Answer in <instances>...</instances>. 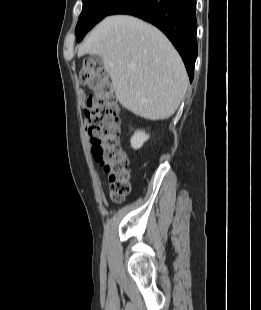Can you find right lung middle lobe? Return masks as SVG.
I'll use <instances>...</instances> for the list:
<instances>
[{"instance_id":"1","label":"right lung middle lobe","mask_w":261,"mask_h":310,"mask_svg":"<svg viewBox=\"0 0 261 310\" xmlns=\"http://www.w3.org/2000/svg\"><path fill=\"white\" fill-rule=\"evenodd\" d=\"M124 0H83V9L76 26L77 41Z\"/></svg>"}]
</instances>
